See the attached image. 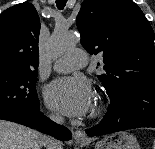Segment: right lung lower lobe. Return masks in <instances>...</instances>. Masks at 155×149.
<instances>
[{
    "label": "right lung lower lobe",
    "mask_w": 155,
    "mask_h": 149,
    "mask_svg": "<svg viewBox=\"0 0 155 149\" xmlns=\"http://www.w3.org/2000/svg\"><path fill=\"white\" fill-rule=\"evenodd\" d=\"M0 119L16 122L33 129L37 128L40 132L51 135L59 140H70L72 138L71 132L67 128L51 121L40 112L39 108L28 118L20 119L0 114Z\"/></svg>",
    "instance_id": "obj_1"
}]
</instances>
